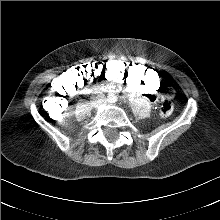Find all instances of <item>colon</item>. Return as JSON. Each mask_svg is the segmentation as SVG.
<instances>
[{
  "mask_svg": "<svg viewBox=\"0 0 220 220\" xmlns=\"http://www.w3.org/2000/svg\"><path fill=\"white\" fill-rule=\"evenodd\" d=\"M102 81H122L140 91H155L161 85V77L155 68L149 64L140 65L135 61L111 60L108 62H93L75 66L57 77L46 88L44 108L48 114L63 111L65 98L80 86ZM159 94L148 95L154 108L161 116H168L172 112L169 98L173 95L170 88L161 87Z\"/></svg>",
  "mask_w": 220,
  "mask_h": 220,
  "instance_id": "colon-1",
  "label": "colon"
}]
</instances>
